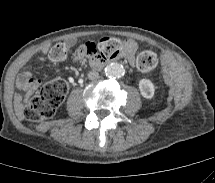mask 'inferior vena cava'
Listing matches in <instances>:
<instances>
[{
  "instance_id": "602c4592",
  "label": "inferior vena cava",
  "mask_w": 215,
  "mask_h": 183,
  "mask_svg": "<svg viewBox=\"0 0 215 183\" xmlns=\"http://www.w3.org/2000/svg\"><path fill=\"white\" fill-rule=\"evenodd\" d=\"M88 78H89L90 80H95V79L99 78V73L96 72V71H90V72L88 73Z\"/></svg>"
}]
</instances>
